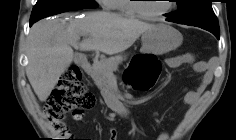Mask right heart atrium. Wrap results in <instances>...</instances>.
I'll return each mask as SVG.
<instances>
[{
	"label": "right heart atrium",
	"mask_w": 236,
	"mask_h": 140,
	"mask_svg": "<svg viewBox=\"0 0 236 140\" xmlns=\"http://www.w3.org/2000/svg\"><path fill=\"white\" fill-rule=\"evenodd\" d=\"M100 2L105 9H111V6L109 4V0H100Z\"/></svg>",
	"instance_id": "d8ad5b80"
}]
</instances>
